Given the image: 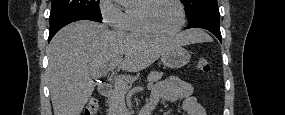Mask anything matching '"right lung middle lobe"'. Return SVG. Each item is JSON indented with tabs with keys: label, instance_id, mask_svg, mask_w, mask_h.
Masks as SVG:
<instances>
[{
	"label": "right lung middle lobe",
	"instance_id": "right-lung-middle-lobe-1",
	"mask_svg": "<svg viewBox=\"0 0 285 115\" xmlns=\"http://www.w3.org/2000/svg\"><path fill=\"white\" fill-rule=\"evenodd\" d=\"M51 2L50 23L73 15L88 16L102 20L99 0H51Z\"/></svg>",
	"mask_w": 285,
	"mask_h": 115
}]
</instances>
